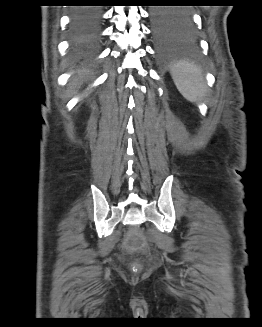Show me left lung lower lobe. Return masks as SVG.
<instances>
[{
  "label": "left lung lower lobe",
  "mask_w": 262,
  "mask_h": 327,
  "mask_svg": "<svg viewBox=\"0 0 262 327\" xmlns=\"http://www.w3.org/2000/svg\"><path fill=\"white\" fill-rule=\"evenodd\" d=\"M158 52L164 56H191L199 51L191 14L179 8L154 7L150 11Z\"/></svg>",
  "instance_id": "0a47b994"
}]
</instances>
